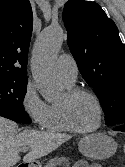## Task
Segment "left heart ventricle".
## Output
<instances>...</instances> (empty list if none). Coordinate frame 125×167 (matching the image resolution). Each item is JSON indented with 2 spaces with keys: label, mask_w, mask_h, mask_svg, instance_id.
I'll use <instances>...</instances> for the list:
<instances>
[{
  "label": "left heart ventricle",
  "mask_w": 125,
  "mask_h": 167,
  "mask_svg": "<svg viewBox=\"0 0 125 167\" xmlns=\"http://www.w3.org/2000/svg\"><path fill=\"white\" fill-rule=\"evenodd\" d=\"M65 94L60 99L63 102ZM71 116L75 125L81 129H89L97 125L99 113L92 98L87 95H80L71 103Z\"/></svg>",
  "instance_id": "left-heart-ventricle-1"
}]
</instances>
